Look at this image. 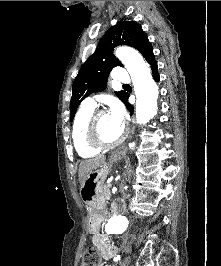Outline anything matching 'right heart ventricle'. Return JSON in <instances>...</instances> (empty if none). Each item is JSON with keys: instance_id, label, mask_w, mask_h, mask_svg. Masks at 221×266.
<instances>
[{"instance_id": "obj_1", "label": "right heart ventricle", "mask_w": 221, "mask_h": 266, "mask_svg": "<svg viewBox=\"0 0 221 266\" xmlns=\"http://www.w3.org/2000/svg\"><path fill=\"white\" fill-rule=\"evenodd\" d=\"M93 112L94 108L82 105L78 110L73 123V145L78 155L82 158H91L100 152V149L90 146L86 141V126Z\"/></svg>"}]
</instances>
